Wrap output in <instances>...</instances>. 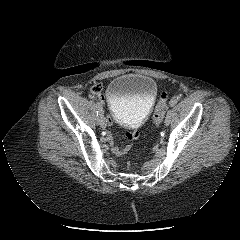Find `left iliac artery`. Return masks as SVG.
<instances>
[{
    "mask_svg": "<svg viewBox=\"0 0 240 240\" xmlns=\"http://www.w3.org/2000/svg\"><path fill=\"white\" fill-rule=\"evenodd\" d=\"M177 103V99L176 98H172L171 100H170V106L171 107H173L175 104Z\"/></svg>",
    "mask_w": 240,
    "mask_h": 240,
    "instance_id": "left-iliac-artery-1",
    "label": "left iliac artery"
}]
</instances>
